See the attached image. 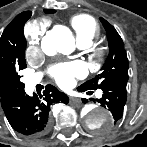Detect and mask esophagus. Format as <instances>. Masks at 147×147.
Here are the masks:
<instances>
[{"label":"esophagus","instance_id":"obj_1","mask_svg":"<svg viewBox=\"0 0 147 147\" xmlns=\"http://www.w3.org/2000/svg\"><path fill=\"white\" fill-rule=\"evenodd\" d=\"M70 102L73 104H78L80 103V99L79 98H75V97H71L70 98Z\"/></svg>","mask_w":147,"mask_h":147}]
</instances>
